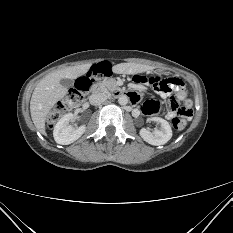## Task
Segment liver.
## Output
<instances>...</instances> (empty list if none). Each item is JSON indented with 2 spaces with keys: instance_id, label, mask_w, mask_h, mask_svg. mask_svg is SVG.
<instances>
[{
  "instance_id": "liver-1",
  "label": "liver",
  "mask_w": 233,
  "mask_h": 233,
  "mask_svg": "<svg viewBox=\"0 0 233 233\" xmlns=\"http://www.w3.org/2000/svg\"><path fill=\"white\" fill-rule=\"evenodd\" d=\"M91 64H83L67 67L50 73L40 80L36 85L31 101L30 113L35 127L44 135L46 116L52 107L67 93V89L61 85L63 78L74 80L90 69ZM153 67L137 63H120L112 67L117 74H137L152 70Z\"/></svg>"
}]
</instances>
